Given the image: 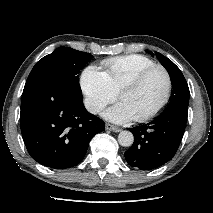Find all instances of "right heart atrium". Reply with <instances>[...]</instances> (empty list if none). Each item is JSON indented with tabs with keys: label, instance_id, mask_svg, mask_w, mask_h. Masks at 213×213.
<instances>
[{
	"label": "right heart atrium",
	"instance_id": "d8ad5b80",
	"mask_svg": "<svg viewBox=\"0 0 213 213\" xmlns=\"http://www.w3.org/2000/svg\"><path fill=\"white\" fill-rule=\"evenodd\" d=\"M80 86L85 97L86 108L91 113L100 112L116 99L105 73L94 65L87 66L80 77Z\"/></svg>",
	"mask_w": 213,
	"mask_h": 213
}]
</instances>
